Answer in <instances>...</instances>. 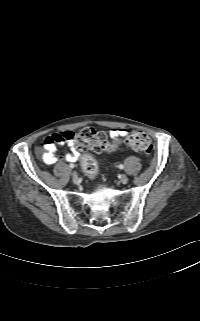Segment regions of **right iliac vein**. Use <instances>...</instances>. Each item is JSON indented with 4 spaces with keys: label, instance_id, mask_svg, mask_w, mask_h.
<instances>
[{
    "label": "right iliac vein",
    "instance_id": "right-iliac-vein-1",
    "mask_svg": "<svg viewBox=\"0 0 200 321\" xmlns=\"http://www.w3.org/2000/svg\"><path fill=\"white\" fill-rule=\"evenodd\" d=\"M72 178L74 181H76L78 179V175L75 171L72 172Z\"/></svg>",
    "mask_w": 200,
    "mask_h": 321
}]
</instances>
